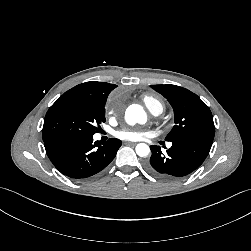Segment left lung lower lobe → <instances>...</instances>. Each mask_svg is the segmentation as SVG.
Here are the masks:
<instances>
[{"instance_id":"1","label":"left lung lower lobe","mask_w":251,"mask_h":251,"mask_svg":"<svg viewBox=\"0 0 251 251\" xmlns=\"http://www.w3.org/2000/svg\"><path fill=\"white\" fill-rule=\"evenodd\" d=\"M172 147L162 153L159 146L150 147L152 156L146 164L147 170L164 181L180 179L196 170L210 152L212 142L185 138L173 140Z\"/></svg>"}]
</instances>
